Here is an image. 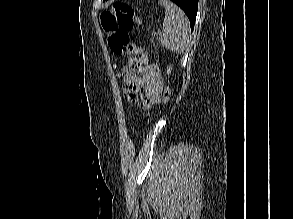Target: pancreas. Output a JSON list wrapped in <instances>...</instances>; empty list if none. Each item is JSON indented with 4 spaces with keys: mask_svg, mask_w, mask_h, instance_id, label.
Returning <instances> with one entry per match:
<instances>
[{
    "mask_svg": "<svg viewBox=\"0 0 293 219\" xmlns=\"http://www.w3.org/2000/svg\"><path fill=\"white\" fill-rule=\"evenodd\" d=\"M152 35L155 36V32H153Z\"/></svg>",
    "mask_w": 293,
    "mask_h": 219,
    "instance_id": "obj_1",
    "label": "pancreas"
}]
</instances>
